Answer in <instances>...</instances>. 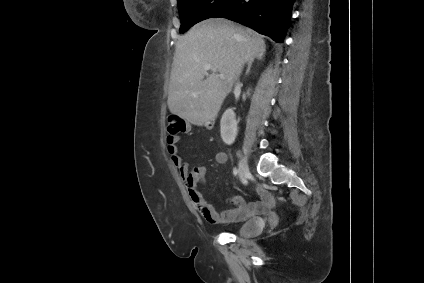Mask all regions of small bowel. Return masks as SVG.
Wrapping results in <instances>:
<instances>
[{
    "label": "small bowel",
    "mask_w": 424,
    "mask_h": 283,
    "mask_svg": "<svg viewBox=\"0 0 424 283\" xmlns=\"http://www.w3.org/2000/svg\"><path fill=\"white\" fill-rule=\"evenodd\" d=\"M179 135H169L167 137L168 151L171 154L174 165L178 168L181 178L185 183L189 199L197 212L210 224L235 223L244 220L248 216L266 209L272 202L271 194L259 187L258 192L261 196L259 202H247L240 196L231 197L229 202L234 205L233 208L218 212L202 196L198 189L199 184L206 183L207 169L205 166H194L190 168L179 153ZM216 161L219 164H225L228 156L225 152L216 154Z\"/></svg>",
    "instance_id": "small-bowel-1"
}]
</instances>
